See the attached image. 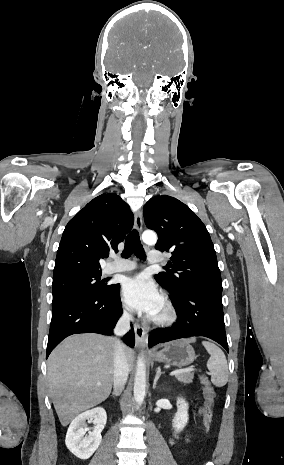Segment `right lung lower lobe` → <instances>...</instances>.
Here are the masks:
<instances>
[{
	"label": "right lung lower lobe",
	"mask_w": 284,
	"mask_h": 465,
	"mask_svg": "<svg viewBox=\"0 0 284 465\" xmlns=\"http://www.w3.org/2000/svg\"><path fill=\"white\" fill-rule=\"evenodd\" d=\"M121 314L119 284H114L105 292L71 293L53 301L46 358L69 335L76 333L111 335ZM123 340L130 347H134L133 328Z\"/></svg>",
	"instance_id": "right-lung-lower-lobe-1"
}]
</instances>
